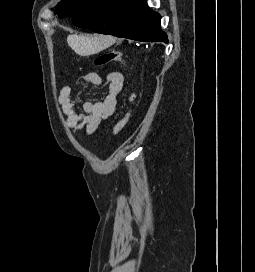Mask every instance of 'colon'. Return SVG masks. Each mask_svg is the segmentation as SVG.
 Here are the masks:
<instances>
[{"instance_id": "1", "label": "colon", "mask_w": 255, "mask_h": 272, "mask_svg": "<svg viewBox=\"0 0 255 272\" xmlns=\"http://www.w3.org/2000/svg\"><path fill=\"white\" fill-rule=\"evenodd\" d=\"M112 62H120V63L125 64L128 67V61H127L125 55L122 52L117 51V50H112V51H108L104 54H101L94 61L95 65L98 67L104 66V65L112 63ZM128 100H129V103H131L134 100L133 93L130 94ZM128 117H129V109H127L124 112L122 117L118 120V122L113 127L112 135L114 137H116L117 135H119L122 132V130L124 129V127L126 125Z\"/></svg>"}]
</instances>
